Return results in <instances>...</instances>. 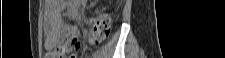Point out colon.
<instances>
[{"instance_id": "colon-1", "label": "colon", "mask_w": 225, "mask_h": 58, "mask_svg": "<svg viewBox=\"0 0 225 58\" xmlns=\"http://www.w3.org/2000/svg\"><path fill=\"white\" fill-rule=\"evenodd\" d=\"M111 31V19L107 14L99 15L93 25L90 35V43L92 45H99L104 42ZM80 48V41L76 36L75 30H72L65 42V44L57 51V54L71 53Z\"/></svg>"}]
</instances>
